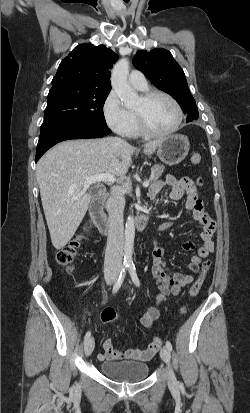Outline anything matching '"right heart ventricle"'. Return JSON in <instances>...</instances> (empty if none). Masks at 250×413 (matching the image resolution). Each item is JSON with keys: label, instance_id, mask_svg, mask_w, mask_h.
I'll return each instance as SVG.
<instances>
[{"label": "right heart ventricle", "instance_id": "right-heart-ventricle-1", "mask_svg": "<svg viewBox=\"0 0 250 413\" xmlns=\"http://www.w3.org/2000/svg\"><path fill=\"white\" fill-rule=\"evenodd\" d=\"M146 89V88H145ZM145 89H139V90H145ZM130 112V116H131V130L129 133V136H138L140 135V130L138 127V121H137V117L134 111H129Z\"/></svg>", "mask_w": 250, "mask_h": 413}]
</instances>
